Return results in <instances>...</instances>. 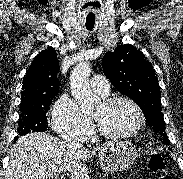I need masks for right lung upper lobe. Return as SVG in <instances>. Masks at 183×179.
I'll list each match as a JSON object with an SVG mask.
<instances>
[{
	"label": "right lung upper lobe",
	"mask_w": 183,
	"mask_h": 179,
	"mask_svg": "<svg viewBox=\"0 0 183 179\" xmlns=\"http://www.w3.org/2000/svg\"><path fill=\"white\" fill-rule=\"evenodd\" d=\"M59 61L53 48L40 52L23 79L21 103L45 96H56L60 85L57 74Z\"/></svg>",
	"instance_id": "right-lung-upper-lobe-1"
}]
</instances>
